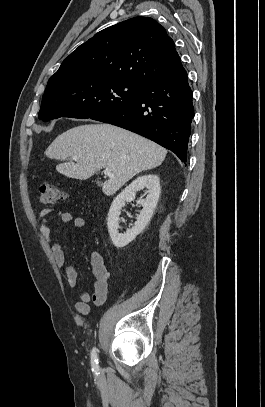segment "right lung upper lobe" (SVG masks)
<instances>
[{
    "mask_svg": "<svg viewBox=\"0 0 265 407\" xmlns=\"http://www.w3.org/2000/svg\"><path fill=\"white\" fill-rule=\"evenodd\" d=\"M179 55L154 19L134 17L108 27L80 45L49 82L101 77L146 85L170 73Z\"/></svg>",
    "mask_w": 265,
    "mask_h": 407,
    "instance_id": "1",
    "label": "right lung upper lobe"
}]
</instances>
